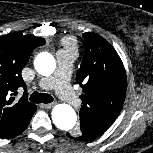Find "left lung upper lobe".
Masks as SVG:
<instances>
[{
  "mask_svg": "<svg viewBox=\"0 0 153 153\" xmlns=\"http://www.w3.org/2000/svg\"><path fill=\"white\" fill-rule=\"evenodd\" d=\"M85 53L76 75L83 88L80 96L81 136L95 139L116 120L126 94V72L111 44L103 37L84 33Z\"/></svg>",
  "mask_w": 153,
  "mask_h": 153,
  "instance_id": "1",
  "label": "left lung upper lobe"
}]
</instances>
